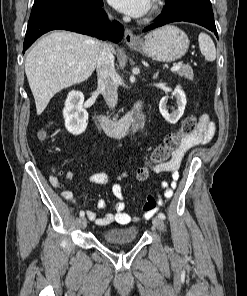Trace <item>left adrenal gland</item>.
I'll return each instance as SVG.
<instances>
[{"mask_svg":"<svg viewBox=\"0 0 247 296\" xmlns=\"http://www.w3.org/2000/svg\"><path fill=\"white\" fill-rule=\"evenodd\" d=\"M158 76V73L154 74L153 79H156Z\"/></svg>","mask_w":247,"mask_h":296,"instance_id":"a2214340","label":"left adrenal gland"}]
</instances>
